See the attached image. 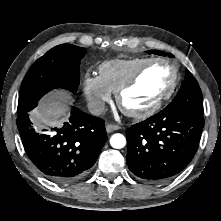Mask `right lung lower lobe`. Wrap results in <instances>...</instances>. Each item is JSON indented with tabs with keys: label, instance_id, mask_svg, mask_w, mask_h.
Instances as JSON below:
<instances>
[{
	"label": "right lung lower lobe",
	"instance_id": "1",
	"mask_svg": "<svg viewBox=\"0 0 221 221\" xmlns=\"http://www.w3.org/2000/svg\"><path fill=\"white\" fill-rule=\"evenodd\" d=\"M17 126L25 152L47 179L67 184L87 175L107 140L104 120L72 107L60 128L35 130L28 113L18 115Z\"/></svg>",
	"mask_w": 221,
	"mask_h": 221
}]
</instances>
